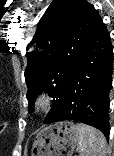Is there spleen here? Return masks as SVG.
Here are the masks:
<instances>
[{"label": "spleen", "mask_w": 114, "mask_h": 156, "mask_svg": "<svg viewBox=\"0 0 114 156\" xmlns=\"http://www.w3.org/2000/svg\"><path fill=\"white\" fill-rule=\"evenodd\" d=\"M76 129L79 135L76 151L81 156H107L106 139L99 130L82 123L76 124Z\"/></svg>", "instance_id": "spleen-1"}]
</instances>
